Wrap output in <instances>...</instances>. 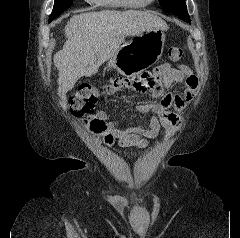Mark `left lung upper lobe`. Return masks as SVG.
<instances>
[{
  "instance_id": "5c2ea615",
  "label": "left lung upper lobe",
  "mask_w": 240,
  "mask_h": 238,
  "mask_svg": "<svg viewBox=\"0 0 240 238\" xmlns=\"http://www.w3.org/2000/svg\"><path fill=\"white\" fill-rule=\"evenodd\" d=\"M164 11L177 15L182 20L189 21L185 0H159Z\"/></svg>"
}]
</instances>
